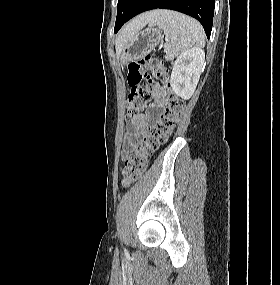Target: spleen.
I'll use <instances>...</instances> for the list:
<instances>
[{"mask_svg":"<svg viewBox=\"0 0 280 285\" xmlns=\"http://www.w3.org/2000/svg\"><path fill=\"white\" fill-rule=\"evenodd\" d=\"M157 25L165 35V59L171 60L195 45L203 47L205 34L198 21L174 11L158 10L149 26Z\"/></svg>","mask_w":280,"mask_h":285,"instance_id":"3e777b00","label":"spleen"}]
</instances>
